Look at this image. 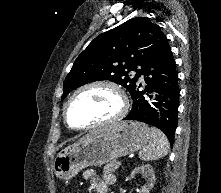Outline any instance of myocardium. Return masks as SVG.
Returning a JSON list of instances; mask_svg holds the SVG:
<instances>
[{"label": "myocardium", "instance_id": "f54148a6", "mask_svg": "<svg viewBox=\"0 0 221 193\" xmlns=\"http://www.w3.org/2000/svg\"><path fill=\"white\" fill-rule=\"evenodd\" d=\"M98 87H105V88L111 89L118 96L120 106H119V109L117 110V112L113 116H111L105 120L93 123L88 126L75 127V126L71 125L68 120V108H69V105L71 104V102L81 92H83L87 89H90V88H98ZM128 107H129V103H128L127 96H126L124 90L118 84H116L112 81H109V80H94V81H91V82H88V83H85V84L79 86L68 97V99L66 100L64 107H63V119H64L65 125L69 129L74 130V131H78V132H86V131H90V130H93L96 128L105 127V126H109V125H113V124L118 123L126 115V113L128 111Z\"/></svg>", "mask_w": 221, "mask_h": 193}]
</instances>
